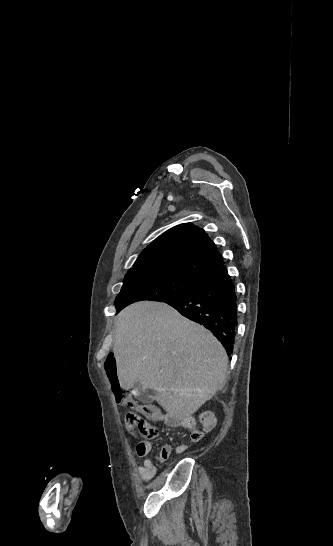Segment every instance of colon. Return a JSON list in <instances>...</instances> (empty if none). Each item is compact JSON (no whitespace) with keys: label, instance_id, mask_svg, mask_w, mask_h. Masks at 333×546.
Segmentation results:
<instances>
[{"label":"colon","instance_id":"5ec220e1","mask_svg":"<svg viewBox=\"0 0 333 546\" xmlns=\"http://www.w3.org/2000/svg\"><path fill=\"white\" fill-rule=\"evenodd\" d=\"M104 369L111 381L116 402L120 405L128 406L133 410L125 417V428L129 432L137 428L142 437L146 439L155 438L158 435L157 428L140 414L151 417L156 414V408L150 404H143L134 400L126 390L120 388L117 376V359L114 354L107 355L104 362Z\"/></svg>","mask_w":333,"mask_h":546}]
</instances>
